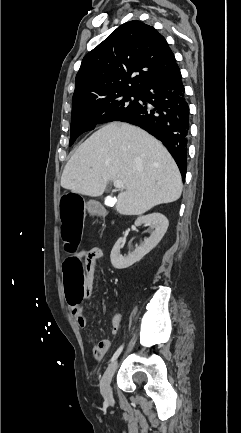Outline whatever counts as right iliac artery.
<instances>
[{"label":"right iliac artery","mask_w":241,"mask_h":433,"mask_svg":"<svg viewBox=\"0 0 241 433\" xmlns=\"http://www.w3.org/2000/svg\"><path fill=\"white\" fill-rule=\"evenodd\" d=\"M123 346H124V345H121V346L117 349V351L114 353V355H113L112 358H111V362H113L114 360H116V359L118 358V356L120 355V353H121L122 350H123Z\"/></svg>","instance_id":"82829eb1"}]
</instances>
